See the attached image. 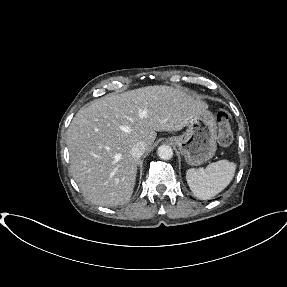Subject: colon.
I'll list each match as a JSON object with an SVG mask.
<instances>
[{
    "label": "colon",
    "mask_w": 287,
    "mask_h": 287,
    "mask_svg": "<svg viewBox=\"0 0 287 287\" xmlns=\"http://www.w3.org/2000/svg\"><path fill=\"white\" fill-rule=\"evenodd\" d=\"M218 122V142L223 148H230L234 142V134L229 116L225 112H219Z\"/></svg>",
    "instance_id": "obj_1"
}]
</instances>
